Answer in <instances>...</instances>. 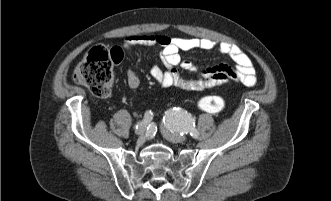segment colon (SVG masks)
<instances>
[{"mask_svg":"<svg viewBox=\"0 0 331 201\" xmlns=\"http://www.w3.org/2000/svg\"><path fill=\"white\" fill-rule=\"evenodd\" d=\"M119 54V51H110L103 46L92 47L76 66L74 82L86 86L98 97L108 96L113 88V66ZM198 107L204 112L216 114L225 110L226 101L221 96L209 95L199 99Z\"/></svg>","mask_w":331,"mask_h":201,"instance_id":"1","label":"colon"}]
</instances>
